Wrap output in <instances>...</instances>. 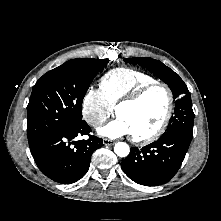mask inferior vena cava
Returning <instances> with one entry per match:
<instances>
[{
	"label": "inferior vena cava",
	"mask_w": 221,
	"mask_h": 221,
	"mask_svg": "<svg viewBox=\"0 0 221 221\" xmlns=\"http://www.w3.org/2000/svg\"><path fill=\"white\" fill-rule=\"evenodd\" d=\"M101 124V122L100 121H96V125H100Z\"/></svg>",
	"instance_id": "inferior-vena-cava-1"
}]
</instances>
